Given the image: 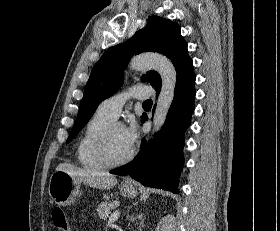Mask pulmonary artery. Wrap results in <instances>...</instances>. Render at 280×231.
I'll return each mask as SVG.
<instances>
[{
  "label": "pulmonary artery",
  "instance_id": "pulmonary-artery-1",
  "mask_svg": "<svg viewBox=\"0 0 280 231\" xmlns=\"http://www.w3.org/2000/svg\"><path fill=\"white\" fill-rule=\"evenodd\" d=\"M151 90L148 86L135 85L126 91L119 92L118 94L105 99L98 106L97 111L105 114L112 119H117L120 115L123 105L129 99L145 100L151 96Z\"/></svg>",
  "mask_w": 280,
  "mask_h": 231
}]
</instances>
